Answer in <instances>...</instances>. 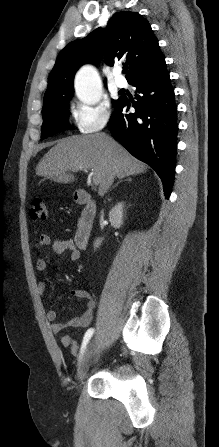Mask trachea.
Wrapping results in <instances>:
<instances>
[{"label": "trachea", "instance_id": "trachea-1", "mask_svg": "<svg viewBox=\"0 0 219 447\" xmlns=\"http://www.w3.org/2000/svg\"><path fill=\"white\" fill-rule=\"evenodd\" d=\"M126 72H127V68L124 67L123 70H122V73L125 74Z\"/></svg>", "mask_w": 219, "mask_h": 447}]
</instances>
